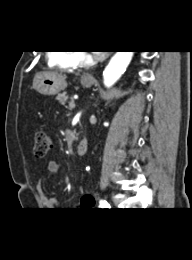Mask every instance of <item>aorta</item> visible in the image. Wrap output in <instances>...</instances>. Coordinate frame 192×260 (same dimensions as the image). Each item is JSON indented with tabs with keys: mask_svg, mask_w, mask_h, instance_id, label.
<instances>
[{
	"mask_svg": "<svg viewBox=\"0 0 192 260\" xmlns=\"http://www.w3.org/2000/svg\"><path fill=\"white\" fill-rule=\"evenodd\" d=\"M132 57V51L116 52L103 71V80L106 87H111L121 77Z\"/></svg>",
	"mask_w": 192,
	"mask_h": 260,
	"instance_id": "762f6f07",
	"label": "aorta"
}]
</instances>
